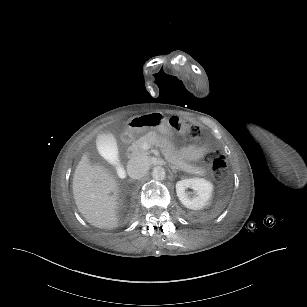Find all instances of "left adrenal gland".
<instances>
[{
    "mask_svg": "<svg viewBox=\"0 0 307 307\" xmlns=\"http://www.w3.org/2000/svg\"><path fill=\"white\" fill-rule=\"evenodd\" d=\"M173 173H175V174H176V173H177V170H176V169H174V170H173Z\"/></svg>",
    "mask_w": 307,
    "mask_h": 307,
    "instance_id": "obj_1",
    "label": "left adrenal gland"
}]
</instances>
